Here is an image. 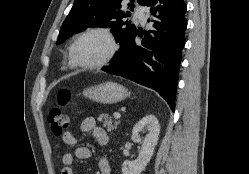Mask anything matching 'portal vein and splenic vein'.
<instances>
[{
	"label": "portal vein and splenic vein",
	"instance_id": "1",
	"mask_svg": "<svg viewBox=\"0 0 249 174\" xmlns=\"http://www.w3.org/2000/svg\"><path fill=\"white\" fill-rule=\"evenodd\" d=\"M113 116H114L115 119H120L121 114L116 112V113L113 114Z\"/></svg>",
	"mask_w": 249,
	"mask_h": 174
}]
</instances>
